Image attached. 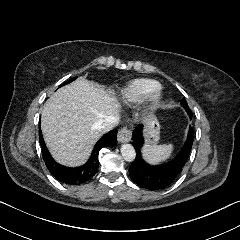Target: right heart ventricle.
<instances>
[{
	"label": "right heart ventricle",
	"instance_id": "e07e8e85",
	"mask_svg": "<svg viewBox=\"0 0 240 240\" xmlns=\"http://www.w3.org/2000/svg\"><path fill=\"white\" fill-rule=\"evenodd\" d=\"M157 87V82L148 79H138L119 88L114 94V101L120 107L127 103H138Z\"/></svg>",
	"mask_w": 240,
	"mask_h": 240
}]
</instances>
